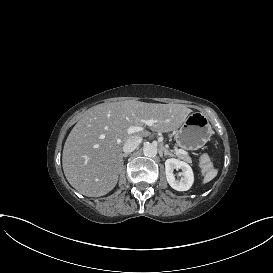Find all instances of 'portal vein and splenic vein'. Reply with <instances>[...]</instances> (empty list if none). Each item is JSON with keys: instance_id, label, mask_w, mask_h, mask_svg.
<instances>
[{"instance_id": "obj_1", "label": "portal vein and splenic vein", "mask_w": 273, "mask_h": 273, "mask_svg": "<svg viewBox=\"0 0 273 273\" xmlns=\"http://www.w3.org/2000/svg\"><path fill=\"white\" fill-rule=\"evenodd\" d=\"M155 123H156V121L153 120V119H151V120H146V121H145V124L148 125V126H151V125H153V124H155ZM140 130H141V129H140L139 127L130 126V127L127 128V133H128V134H133V133L138 132V131H140ZM177 151H178L179 154H182V153H183V150H182V149H178Z\"/></svg>"}]
</instances>
